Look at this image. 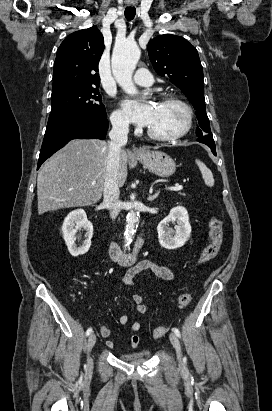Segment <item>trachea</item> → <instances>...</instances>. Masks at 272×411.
Returning a JSON list of instances; mask_svg holds the SVG:
<instances>
[{"label":"trachea","instance_id":"obj_1","mask_svg":"<svg viewBox=\"0 0 272 411\" xmlns=\"http://www.w3.org/2000/svg\"><path fill=\"white\" fill-rule=\"evenodd\" d=\"M136 9L135 7H127L125 9V17L127 20H132L135 17Z\"/></svg>","mask_w":272,"mask_h":411}]
</instances>
